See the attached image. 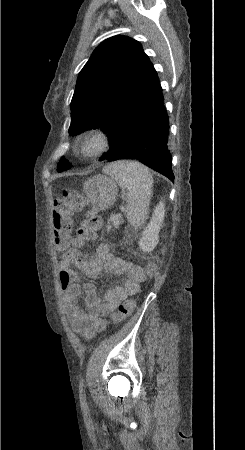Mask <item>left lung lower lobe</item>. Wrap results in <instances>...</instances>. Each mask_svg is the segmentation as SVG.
<instances>
[{"instance_id":"1","label":"left lung lower lobe","mask_w":245,"mask_h":450,"mask_svg":"<svg viewBox=\"0 0 245 450\" xmlns=\"http://www.w3.org/2000/svg\"><path fill=\"white\" fill-rule=\"evenodd\" d=\"M169 117L162 90L144 110L130 138L119 152L101 160L135 159L174 181L168 149Z\"/></svg>"}]
</instances>
